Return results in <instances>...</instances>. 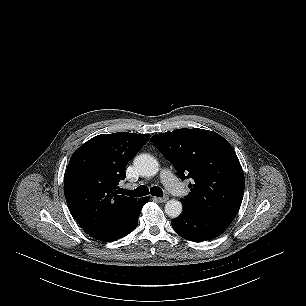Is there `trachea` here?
Listing matches in <instances>:
<instances>
[{
    "mask_svg": "<svg viewBox=\"0 0 306 306\" xmlns=\"http://www.w3.org/2000/svg\"><path fill=\"white\" fill-rule=\"evenodd\" d=\"M121 193L124 194V195L133 196V197H142V196H145V195L149 194V189L146 186L141 185L138 188H136L135 190L121 189ZM150 193L153 196L163 197V191L158 186H153L150 189Z\"/></svg>",
    "mask_w": 306,
    "mask_h": 306,
    "instance_id": "1",
    "label": "trachea"
}]
</instances>
